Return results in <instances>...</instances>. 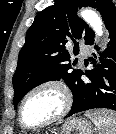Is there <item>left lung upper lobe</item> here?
Returning a JSON list of instances; mask_svg holds the SVG:
<instances>
[{"label":"left lung upper lobe","mask_w":116,"mask_h":134,"mask_svg":"<svg viewBox=\"0 0 116 134\" xmlns=\"http://www.w3.org/2000/svg\"><path fill=\"white\" fill-rule=\"evenodd\" d=\"M96 8L105 19L115 7L111 0H54V5L39 12L27 30L18 66L12 79L15 95L14 108L34 87L52 80H64L74 93L82 70L74 69L65 44L83 38L89 44L94 32L76 16L81 7Z\"/></svg>","instance_id":"5c2ea615"}]
</instances>
